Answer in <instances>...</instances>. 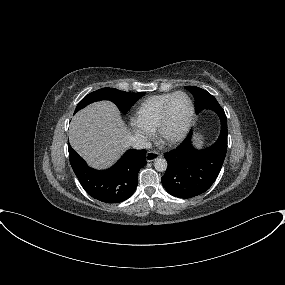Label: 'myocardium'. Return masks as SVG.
<instances>
[{"label": "myocardium", "instance_id": "obj_1", "mask_svg": "<svg viewBox=\"0 0 285 285\" xmlns=\"http://www.w3.org/2000/svg\"><path fill=\"white\" fill-rule=\"evenodd\" d=\"M179 95H184L188 98L190 102V115L183 129L178 134L169 136L165 133V128L168 123V117H169V109L172 101ZM195 113H196L195 105L190 95L184 91L175 92L165 103L159 122L156 127V134L159 141L164 145L168 146L176 145L182 142L187 137L193 126L195 120Z\"/></svg>", "mask_w": 285, "mask_h": 285}]
</instances>
